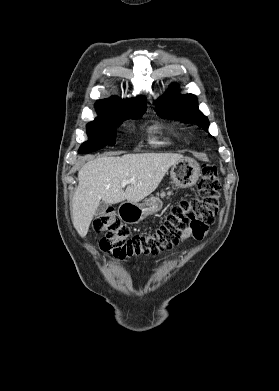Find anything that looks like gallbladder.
Instances as JSON below:
<instances>
[{
	"mask_svg": "<svg viewBox=\"0 0 279 391\" xmlns=\"http://www.w3.org/2000/svg\"><path fill=\"white\" fill-rule=\"evenodd\" d=\"M109 207V204L105 201H100L96 211H95V216H100L102 215Z\"/></svg>",
	"mask_w": 279,
	"mask_h": 391,
	"instance_id": "obj_1",
	"label": "gallbladder"
}]
</instances>
